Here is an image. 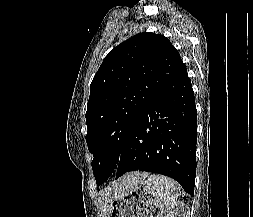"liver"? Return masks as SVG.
Wrapping results in <instances>:
<instances>
[{"mask_svg": "<svg viewBox=\"0 0 253 217\" xmlns=\"http://www.w3.org/2000/svg\"><path fill=\"white\" fill-rule=\"evenodd\" d=\"M146 176V173L131 172L125 174L119 180L105 188V190L100 193L99 197L101 217H108L113 201L121 197L128 189H131L141 180L145 179Z\"/></svg>", "mask_w": 253, "mask_h": 217, "instance_id": "6515ba94", "label": "liver"}]
</instances>
